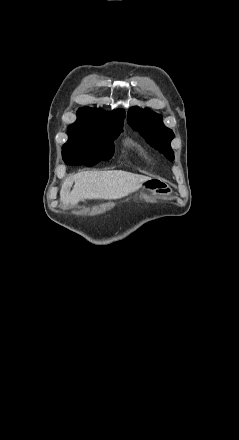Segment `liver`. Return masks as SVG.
<instances>
[{"mask_svg": "<svg viewBox=\"0 0 239 440\" xmlns=\"http://www.w3.org/2000/svg\"><path fill=\"white\" fill-rule=\"evenodd\" d=\"M148 176H138L122 170L111 172H79L66 178L60 190L63 204H78L84 200H119L137 192ZM73 182L75 186L70 192Z\"/></svg>", "mask_w": 239, "mask_h": 440, "instance_id": "obj_1", "label": "liver"}]
</instances>
